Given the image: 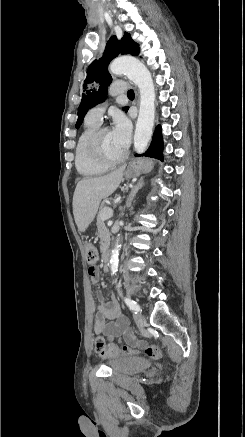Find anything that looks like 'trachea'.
Listing matches in <instances>:
<instances>
[{
  "instance_id": "1",
  "label": "trachea",
  "mask_w": 245,
  "mask_h": 437,
  "mask_svg": "<svg viewBox=\"0 0 245 437\" xmlns=\"http://www.w3.org/2000/svg\"><path fill=\"white\" fill-rule=\"evenodd\" d=\"M128 96H134V91L133 90H129L127 93Z\"/></svg>"
}]
</instances>
